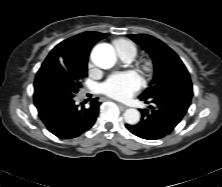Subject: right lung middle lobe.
Returning a JSON list of instances; mask_svg holds the SVG:
<instances>
[{
	"label": "right lung middle lobe",
	"mask_w": 222,
	"mask_h": 187,
	"mask_svg": "<svg viewBox=\"0 0 222 187\" xmlns=\"http://www.w3.org/2000/svg\"><path fill=\"white\" fill-rule=\"evenodd\" d=\"M57 63H59L61 67L69 74L74 83L78 87H81V79L87 76V62H76L72 60L59 59ZM46 66H48V64L43 63L40 70Z\"/></svg>",
	"instance_id": "1"
}]
</instances>
